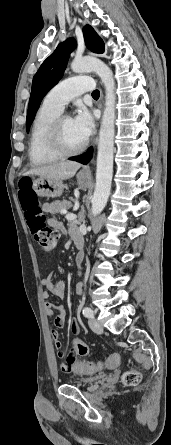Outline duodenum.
I'll return each instance as SVG.
<instances>
[{"label": "duodenum", "instance_id": "duodenum-1", "mask_svg": "<svg viewBox=\"0 0 171 445\" xmlns=\"http://www.w3.org/2000/svg\"><path fill=\"white\" fill-rule=\"evenodd\" d=\"M73 238H74V243H75L76 248L81 251L83 249V247H84V240H83L82 236L81 235H74ZM77 259L79 261H82L83 260V254L80 253L78 255Z\"/></svg>", "mask_w": 171, "mask_h": 445}]
</instances>
